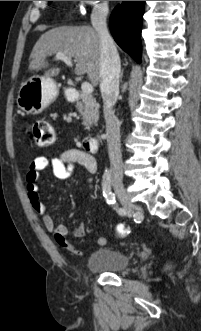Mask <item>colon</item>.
I'll list each match as a JSON object with an SVG mask.
<instances>
[{"label": "colon", "mask_w": 201, "mask_h": 331, "mask_svg": "<svg viewBox=\"0 0 201 331\" xmlns=\"http://www.w3.org/2000/svg\"><path fill=\"white\" fill-rule=\"evenodd\" d=\"M31 133L38 146H49L56 140V133L53 126L45 119L35 120L31 126Z\"/></svg>", "instance_id": "obj_1"}]
</instances>
